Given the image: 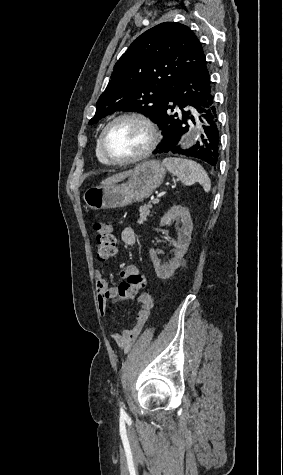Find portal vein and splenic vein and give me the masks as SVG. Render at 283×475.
<instances>
[{
    "mask_svg": "<svg viewBox=\"0 0 283 475\" xmlns=\"http://www.w3.org/2000/svg\"><path fill=\"white\" fill-rule=\"evenodd\" d=\"M159 200L158 198H156V200H154L153 204H158Z\"/></svg>",
    "mask_w": 283,
    "mask_h": 475,
    "instance_id": "portal-vein-and-splenic-vein-1",
    "label": "portal vein and splenic vein"
}]
</instances>
